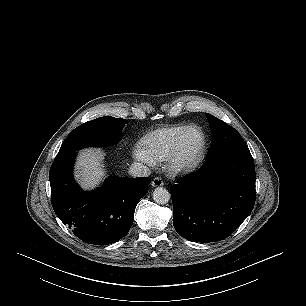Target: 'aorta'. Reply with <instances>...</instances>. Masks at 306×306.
<instances>
[{"mask_svg": "<svg viewBox=\"0 0 306 306\" xmlns=\"http://www.w3.org/2000/svg\"><path fill=\"white\" fill-rule=\"evenodd\" d=\"M170 199V193L166 188L157 187L153 192V200L157 204H166Z\"/></svg>", "mask_w": 306, "mask_h": 306, "instance_id": "1", "label": "aorta"}]
</instances>
